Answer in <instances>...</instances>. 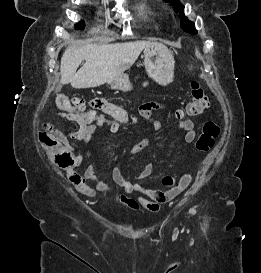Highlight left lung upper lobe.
<instances>
[{"mask_svg":"<svg viewBox=\"0 0 261 273\" xmlns=\"http://www.w3.org/2000/svg\"><path fill=\"white\" fill-rule=\"evenodd\" d=\"M166 2H170L173 6L176 12H180V18H181V28L189 32L191 34L196 33L195 25L192 21H189L185 15H184V6L179 2V0H164Z\"/></svg>","mask_w":261,"mask_h":273,"instance_id":"obj_1","label":"left lung upper lobe"}]
</instances>
